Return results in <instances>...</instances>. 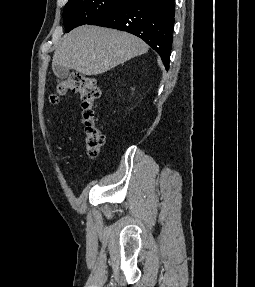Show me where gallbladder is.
I'll list each match as a JSON object with an SVG mask.
<instances>
[{
    "label": "gallbladder",
    "mask_w": 255,
    "mask_h": 287,
    "mask_svg": "<svg viewBox=\"0 0 255 287\" xmlns=\"http://www.w3.org/2000/svg\"><path fill=\"white\" fill-rule=\"evenodd\" d=\"M53 72L57 78L65 80L69 74V68H64V66H53Z\"/></svg>",
    "instance_id": "gallbladder-1"
}]
</instances>
